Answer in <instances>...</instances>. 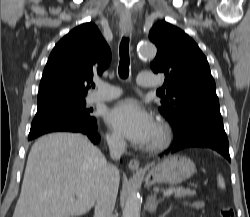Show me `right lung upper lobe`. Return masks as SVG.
<instances>
[{
  "label": "right lung upper lobe",
  "instance_id": "right-lung-upper-lobe-1",
  "mask_svg": "<svg viewBox=\"0 0 250 217\" xmlns=\"http://www.w3.org/2000/svg\"><path fill=\"white\" fill-rule=\"evenodd\" d=\"M111 51L93 23L69 32L52 50L39 86L38 108L83 99L93 75L102 74Z\"/></svg>",
  "mask_w": 250,
  "mask_h": 217
}]
</instances>
